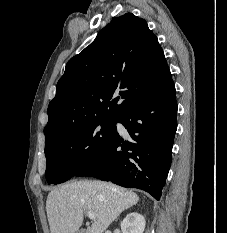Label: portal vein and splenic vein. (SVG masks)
Wrapping results in <instances>:
<instances>
[{
	"label": "portal vein and splenic vein",
	"instance_id": "18ae733b",
	"mask_svg": "<svg viewBox=\"0 0 227 233\" xmlns=\"http://www.w3.org/2000/svg\"><path fill=\"white\" fill-rule=\"evenodd\" d=\"M88 217L91 219V220H95L96 219V214L94 212H88Z\"/></svg>",
	"mask_w": 227,
	"mask_h": 233
}]
</instances>
